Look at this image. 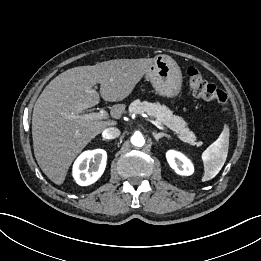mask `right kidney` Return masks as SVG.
<instances>
[{
  "label": "right kidney",
  "instance_id": "ca27d5eb",
  "mask_svg": "<svg viewBox=\"0 0 261 261\" xmlns=\"http://www.w3.org/2000/svg\"><path fill=\"white\" fill-rule=\"evenodd\" d=\"M107 161V153L103 149L83 152L74 162L73 177L80 186H88L96 182L103 174Z\"/></svg>",
  "mask_w": 261,
  "mask_h": 261
}]
</instances>
